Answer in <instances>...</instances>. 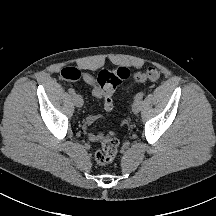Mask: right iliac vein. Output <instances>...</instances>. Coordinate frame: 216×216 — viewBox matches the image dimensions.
<instances>
[{
	"instance_id": "63e3f726",
	"label": "right iliac vein",
	"mask_w": 216,
	"mask_h": 216,
	"mask_svg": "<svg viewBox=\"0 0 216 216\" xmlns=\"http://www.w3.org/2000/svg\"><path fill=\"white\" fill-rule=\"evenodd\" d=\"M73 101L77 107L83 106L84 101L81 95H78V94L73 95Z\"/></svg>"
}]
</instances>
